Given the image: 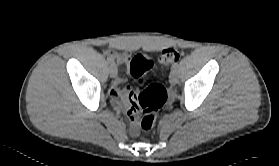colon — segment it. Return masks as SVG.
<instances>
[{"mask_svg":"<svg viewBox=\"0 0 279 166\" xmlns=\"http://www.w3.org/2000/svg\"><path fill=\"white\" fill-rule=\"evenodd\" d=\"M180 59V54L175 48L164 49L157 57V60L169 66ZM155 59L148 55H136L130 62V73L139 80L143 86L138 94L139 109L143 116L140 121V128L143 133H149L156 122L157 113L167 100L166 89L158 84H148L146 73L153 67Z\"/></svg>","mask_w":279,"mask_h":166,"instance_id":"obj_1","label":"colon"}]
</instances>
